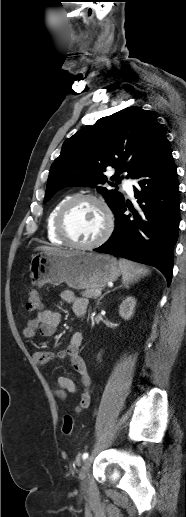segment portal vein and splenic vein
Segmentation results:
<instances>
[{"label":"portal vein and splenic vein","instance_id":"1","mask_svg":"<svg viewBox=\"0 0 186 517\" xmlns=\"http://www.w3.org/2000/svg\"><path fill=\"white\" fill-rule=\"evenodd\" d=\"M101 293H102V292H101L100 290H97V291H96V295H97V296H100V295H101Z\"/></svg>","mask_w":186,"mask_h":517}]
</instances>
